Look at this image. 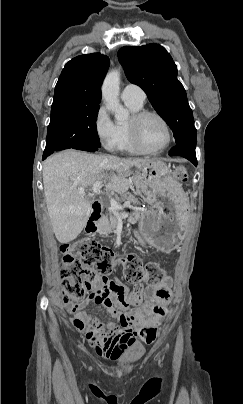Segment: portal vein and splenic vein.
<instances>
[{
	"label": "portal vein and splenic vein",
	"mask_w": 243,
	"mask_h": 404,
	"mask_svg": "<svg viewBox=\"0 0 243 404\" xmlns=\"http://www.w3.org/2000/svg\"><path fill=\"white\" fill-rule=\"evenodd\" d=\"M101 184H103V182H95V184H93V192L94 194H103V192H100L99 190V186H101ZM82 190V188H81ZM79 192V194H83V192ZM110 198V204H111V210H115L114 215L115 216H119L120 218H124L125 216L130 215V212H128L126 209H121L120 206H118L116 200H114V198H112V196H109Z\"/></svg>",
	"instance_id": "obj_1"
}]
</instances>
